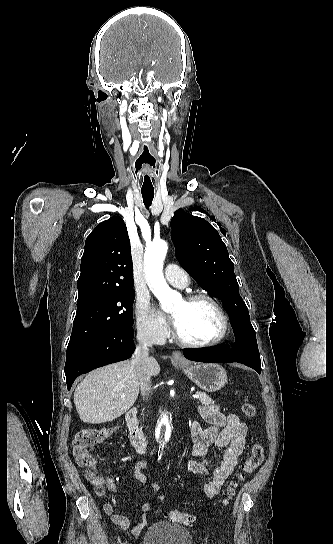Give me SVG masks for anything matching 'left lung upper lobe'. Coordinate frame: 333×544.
<instances>
[{
    "mask_svg": "<svg viewBox=\"0 0 333 544\" xmlns=\"http://www.w3.org/2000/svg\"><path fill=\"white\" fill-rule=\"evenodd\" d=\"M176 257L199 285L223 298L230 320L250 321L226 245L205 219L179 209L171 221Z\"/></svg>",
    "mask_w": 333,
    "mask_h": 544,
    "instance_id": "1",
    "label": "left lung upper lobe"
}]
</instances>
